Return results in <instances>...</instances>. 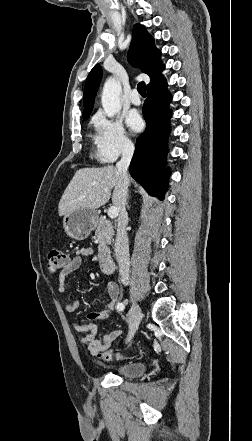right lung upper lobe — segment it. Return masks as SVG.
<instances>
[{
    "label": "right lung upper lobe",
    "mask_w": 252,
    "mask_h": 441,
    "mask_svg": "<svg viewBox=\"0 0 252 441\" xmlns=\"http://www.w3.org/2000/svg\"><path fill=\"white\" fill-rule=\"evenodd\" d=\"M161 52L154 45V38L147 32L143 25H134L133 39L128 52V60L135 67L140 68L150 77L151 85L161 75L164 68L160 60ZM102 78V68L99 64L95 65L90 71L84 88L83 98V119H88L93 109L95 95Z\"/></svg>",
    "instance_id": "cb5924a9"
}]
</instances>
